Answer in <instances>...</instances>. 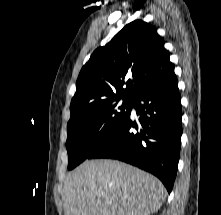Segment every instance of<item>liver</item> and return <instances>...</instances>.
<instances>
[{
  "instance_id": "obj_1",
  "label": "liver",
  "mask_w": 221,
  "mask_h": 215,
  "mask_svg": "<svg viewBox=\"0 0 221 215\" xmlns=\"http://www.w3.org/2000/svg\"><path fill=\"white\" fill-rule=\"evenodd\" d=\"M166 189L155 176L114 160L85 161L69 173L62 199L65 215H149Z\"/></svg>"
}]
</instances>
